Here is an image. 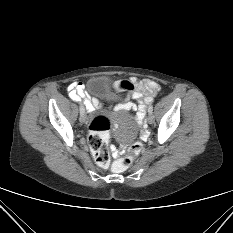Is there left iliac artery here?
<instances>
[{"instance_id":"44dca946","label":"left iliac artery","mask_w":233,"mask_h":233,"mask_svg":"<svg viewBox=\"0 0 233 233\" xmlns=\"http://www.w3.org/2000/svg\"><path fill=\"white\" fill-rule=\"evenodd\" d=\"M152 111H153V106L150 105L149 108H148V112H149V113H152Z\"/></svg>"}]
</instances>
